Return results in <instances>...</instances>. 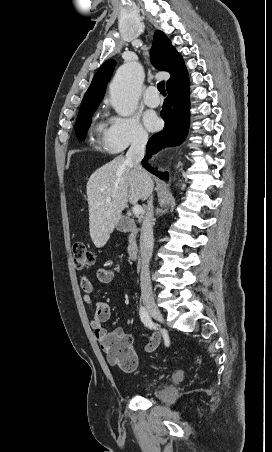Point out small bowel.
<instances>
[{
  "mask_svg": "<svg viewBox=\"0 0 272 452\" xmlns=\"http://www.w3.org/2000/svg\"><path fill=\"white\" fill-rule=\"evenodd\" d=\"M97 278L102 283H110L114 279V272L107 268H99L97 270ZM80 285L83 291V301L86 304L93 303L94 287L90 279L86 275L80 278ZM112 305L108 302H99L96 307L94 317L90 321V326L95 333V337L103 350H107L108 343L118 337H128L131 341V336L126 334L122 329L116 328L114 330H105L102 325L111 318ZM161 342V336L154 331L146 343L144 350L146 353L154 352ZM134 370V369H133ZM132 371V370H131Z\"/></svg>",
  "mask_w": 272,
  "mask_h": 452,
  "instance_id": "obj_1",
  "label": "small bowel"
}]
</instances>
